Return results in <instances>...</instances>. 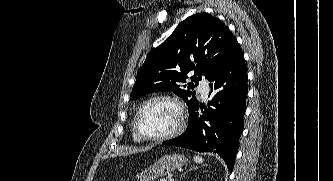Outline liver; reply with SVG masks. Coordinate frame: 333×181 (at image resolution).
<instances>
[{"instance_id": "6515ba94", "label": "liver", "mask_w": 333, "mask_h": 181, "mask_svg": "<svg viewBox=\"0 0 333 181\" xmlns=\"http://www.w3.org/2000/svg\"><path fill=\"white\" fill-rule=\"evenodd\" d=\"M149 149H151V147H146V148H128L126 150H122V151L118 152L117 154L121 155V156H127V155L134 154V153L144 152V151H147Z\"/></svg>"}]
</instances>
